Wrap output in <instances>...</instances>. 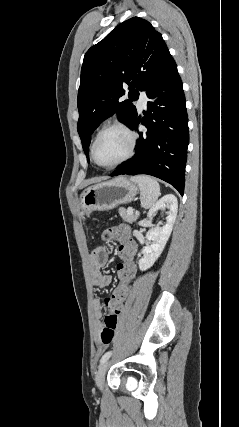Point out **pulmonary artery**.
I'll return each instance as SVG.
<instances>
[{
  "mask_svg": "<svg viewBox=\"0 0 239 427\" xmlns=\"http://www.w3.org/2000/svg\"><path fill=\"white\" fill-rule=\"evenodd\" d=\"M147 105V95L144 91L140 93L139 101H138V107L139 109H144Z\"/></svg>",
  "mask_w": 239,
  "mask_h": 427,
  "instance_id": "e3ab8cb5",
  "label": "pulmonary artery"
}]
</instances>
